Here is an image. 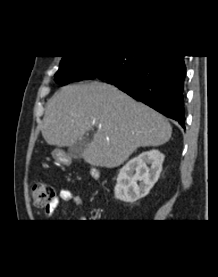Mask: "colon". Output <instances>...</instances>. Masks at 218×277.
Returning a JSON list of instances; mask_svg holds the SVG:
<instances>
[{
	"instance_id": "obj_1",
	"label": "colon",
	"mask_w": 218,
	"mask_h": 277,
	"mask_svg": "<svg viewBox=\"0 0 218 277\" xmlns=\"http://www.w3.org/2000/svg\"><path fill=\"white\" fill-rule=\"evenodd\" d=\"M55 196L54 188L47 183L38 182L31 187V198L37 208H46Z\"/></svg>"
}]
</instances>
